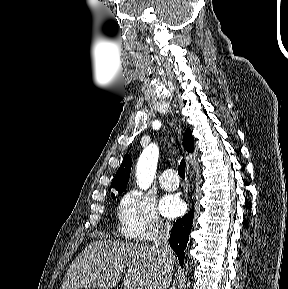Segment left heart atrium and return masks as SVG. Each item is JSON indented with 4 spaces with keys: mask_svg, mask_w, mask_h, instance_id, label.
<instances>
[{
    "mask_svg": "<svg viewBox=\"0 0 288 289\" xmlns=\"http://www.w3.org/2000/svg\"><path fill=\"white\" fill-rule=\"evenodd\" d=\"M160 211L164 216L176 217L184 211V204L177 196L166 195L160 202Z\"/></svg>",
    "mask_w": 288,
    "mask_h": 289,
    "instance_id": "obj_1",
    "label": "left heart atrium"
}]
</instances>
